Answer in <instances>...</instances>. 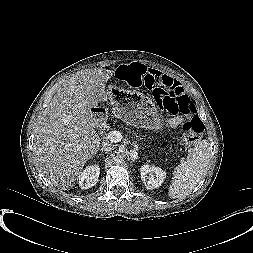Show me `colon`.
I'll return each instance as SVG.
<instances>
[{
    "label": "colon",
    "mask_w": 253,
    "mask_h": 253,
    "mask_svg": "<svg viewBox=\"0 0 253 253\" xmlns=\"http://www.w3.org/2000/svg\"><path fill=\"white\" fill-rule=\"evenodd\" d=\"M147 68L139 63L122 65L116 71V77L132 87H140ZM153 97L161 110L168 116L184 119L182 144L191 147L197 143L204 131L201 119L196 115L192 100L185 94L181 86L156 87Z\"/></svg>",
    "instance_id": "1"
}]
</instances>
